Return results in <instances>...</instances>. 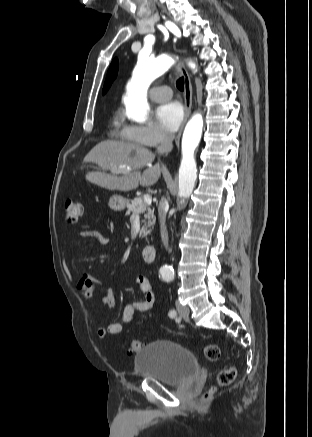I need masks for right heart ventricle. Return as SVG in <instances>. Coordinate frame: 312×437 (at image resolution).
<instances>
[{
    "instance_id": "e07e8e85",
    "label": "right heart ventricle",
    "mask_w": 312,
    "mask_h": 437,
    "mask_svg": "<svg viewBox=\"0 0 312 437\" xmlns=\"http://www.w3.org/2000/svg\"><path fill=\"white\" fill-rule=\"evenodd\" d=\"M123 125L121 122V117L119 114H116L112 121V128L114 129L116 136L121 138V133L123 129Z\"/></svg>"
}]
</instances>
